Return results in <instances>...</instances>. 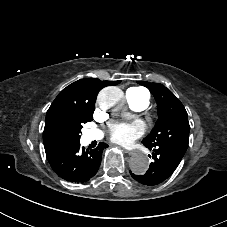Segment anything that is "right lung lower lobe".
Segmentation results:
<instances>
[{"instance_id": "right-lung-lower-lobe-1", "label": "right lung lower lobe", "mask_w": 227, "mask_h": 227, "mask_svg": "<svg viewBox=\"0 0 227 227\" xmlns=\"http://www.w3.org/2000/svg\"><path fill=\"white\" fill-rule=\"evenodd\" d=\"M108 147L99 143L93 150L80 149V143L58 150L47 158L57 175L70 182H86L93 177L100 166L103 149Z\"/></svg>"}]
</instances>
